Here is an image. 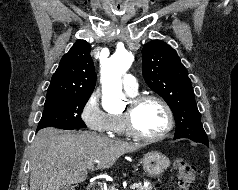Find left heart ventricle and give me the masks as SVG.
Masks as SVG:
<instances>
[{
	"mask_svg": "<svg viewBox=\"0 0 238 190\" xmlns=\"http://www.w3.org/2000/svg\"><path fill=\"white\" fill-rule=\"evenodd\" d=\"M126 106L125 111L127 110ZM134 122L137 129L149 136L163 132L167 126V116L162 106L153 100L143 102L135 111Z\"/></svg>",
	"mask_w": 238,
	"mask_h": 190,
	"instance_id": "left-heart-ventricle-1",
	"label": "left heart ventricle"
}]
</instances>
